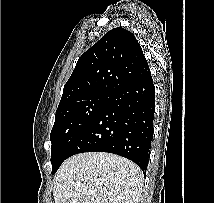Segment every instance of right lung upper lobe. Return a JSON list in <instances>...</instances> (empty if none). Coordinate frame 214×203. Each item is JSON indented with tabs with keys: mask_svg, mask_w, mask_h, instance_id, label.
Returning a JSON list of instances; mask_svg holds the SVG:
<instances>
[{
	"mask_svg": "<svg viewBox=\"0 0 214 203\" xmlns=\"http://www.w3.org/2000/svg\"><path fill=\"white\" fill-rule=\"evenodd\" d=\"M149 74L134 34L122 27L113 28L78 59L59 106L92 93L111 95Z\"/></svg>",
	"mask_w": 214,
	"mask_h": 203,
	"instance_id": "cb5924a9",
	"label": "right lung upper lobe"
}]
</instances>
